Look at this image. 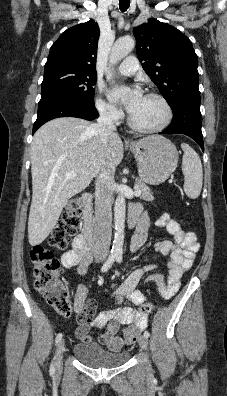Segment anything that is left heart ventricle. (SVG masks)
I'll list each match as a JSON object with an SVG mask.
<instances>
[{
	"label": "left heart ventricle",
	"mask_w": 227,
	"mask_h": 396,
	"mask_svg": "<svg viewBox=\"0 0 227 396\" xmlns=\"http://www.w3.org/2000/svg\"><path fill=\"white\" fill-rule=\"evenodd\" d=\"M131 116L138 125L152 127L163 121L165 111L158 100L145 96Z\"/></svg>",
	"instance_id": "b2bd125f"
}]
</instances>
